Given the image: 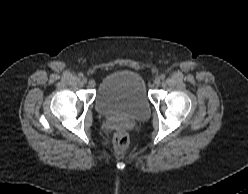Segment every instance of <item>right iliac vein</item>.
<instances>
[{
	"mask_svg": "<svg viewBox=\"0 0 248 194\" xmlns=\"http://www.w3.org/2000/svg\"><path fill=\"white\" fill-rule=\"evenodd\" d=\"M82 81H83L84 83H86V82H87V78H86V77H83V78H82Z\"/></svg>",
	"mask_w": 248,
	"mask_h": 194,
	"instance_id": "right-iliac-vein-1",
	"label": "right iliac vein"
}]
</instances>
